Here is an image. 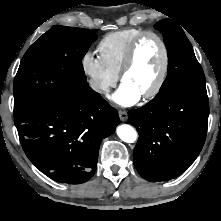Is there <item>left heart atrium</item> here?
Returning a JSON list of instances; mask_svg holds the SVG:
<instances>
[{
    "label": "left heart atrium",
    "instance_id": "left-heart-atrium-1",
    "mask_svg": "<svg viewBox=\"0 0 221 221\" xmlns=\"http://www.w3.org/2000/svg\"><path fill=\"white\" fill-rule=\"evenodd\" d=\"M141 97V94L126 83H122L112 95V99L121 106H131Z\"/></svg>",
    "mask_w": 221,
    "mask_h": 221
}]
</instances>
